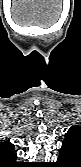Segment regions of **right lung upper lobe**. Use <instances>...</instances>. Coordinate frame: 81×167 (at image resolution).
I'll list each match as a JSON object with an SVG mask.
<instances>
[{"label":"right lung upper lobe","instance_id":"cb5924a9","mask_svg":"<svg viewBox=\"0 0 81 167\" xmlns=\"http://www.w3.org/2000/svg\"><path fill=\"white\" fill-rule=\"evenodd\" d=\"M17 155L15 153L14 145L10 142H3L0 144V164L3 167H11L19 162H16Z\"/></svg>","mask_w":81,"mask_h":167}]
</instances>
